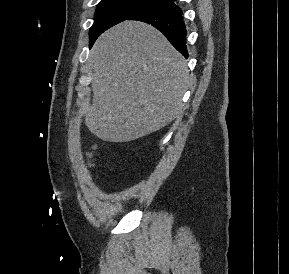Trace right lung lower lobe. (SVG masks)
Returning <instances> with one entry per match:
<instances>
[{"label":"right lung lower lobe","mask_w":289,"mask_h":274,"mask_svg":"<svg viewBox=\"0 0 289 274\" xmlns=\"http://www.w3.org/2000/svg\"><path fill=\"white\" fill-rule=\"evenodd\" d=\"M127 20H137L151 24L161 31L171 44L186 58V28L182 19V11L175 0H165L151 6Z\"/></svg>","instance_id":"1"}]
</instances>
